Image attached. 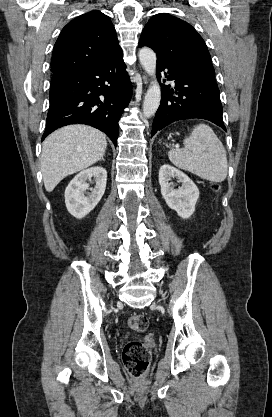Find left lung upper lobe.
I'll use <instances>...</instances> for the list:
<instances>
[{"label":"left lung upper lobe","mask_w":272,"mask_h":417,"mask_svg":"<svg viewBox=\"0 0 272 417\" xmlns=\"http://www.w3.org/2000/svg\"><path fill=\"white\" fill-rule=\"evenodd\" d=\"M142 46L157 53V62L185 68L216 83L207 46L187 22L166 13L153 16L142 31Z\"/></svg>","instance_id":"left-lung-upper-lobe-1"}]
</instances>
